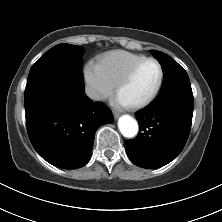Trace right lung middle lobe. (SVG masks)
Masks as SVG:
<instances>
[{
    "instance_id": "right-lung-middle-lobe-1",
    "label": "right lung middle lobe",
    "mask_w": 222,
    "mask_h": 222,
    "mask_svg": "<svg viewBox=\"0 0 222 222\" xmlns=\"http://www.w3.org/2000/svg\"><path fill=\"white\" fill-rule=\"evenodd\" d=\"M83 48L58 44L31 68L25 90V106L38 101L73 103L84 93Z\"/></svg>"
}]
</instances>
